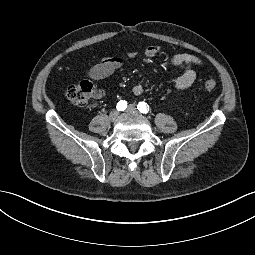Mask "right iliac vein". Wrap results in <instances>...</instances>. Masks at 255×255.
I'll list each match as a JSON object with an SVG mask.
<instances>
[{
	"instance_id": "1",
	"label": "right iliac vein",
	"mask_w": 255,
	"mask_h": 255,
	"mask_svg": "<svg viewBox=\"0 0 255 255\" xmlns=\"http://www.w3.org/2000/svg\"><path fill=\"white\" fill-rule=\"evenodd\" d=\"M118 117H119V112L116 111V110H113V111L110 112V114H109V119H110L112 122L116 121V120L118 119Z\"/></svg>"
}]
</instances>
